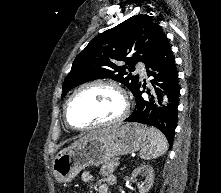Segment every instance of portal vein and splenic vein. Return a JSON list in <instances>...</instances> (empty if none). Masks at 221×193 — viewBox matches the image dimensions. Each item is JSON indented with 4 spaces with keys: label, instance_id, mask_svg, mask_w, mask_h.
<instances>
[{
    "label": "portal vein and splenic vein",
    "instance_id": "18ae733b",
    "mask_svg": "<svg viewBox=\"0 0 221 193\" xmlns=\"http://www.w3.org/2000/svg\"><path fill=\"white\" fill-rule=\"evenodd\" d=\"M116 165L119 166V165H120V162L118 161V162L116 163Z\"/></svg>",
    "mask_w": 221,
    "mask_h": 193
}]
</instances>
